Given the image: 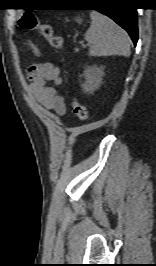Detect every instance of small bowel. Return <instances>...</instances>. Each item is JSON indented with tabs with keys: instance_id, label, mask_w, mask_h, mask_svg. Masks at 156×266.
<instances>
[{
	"instance_id": "c3829d8e",
	"label": "small bowel",
	"mask_w": 156,
	"mask_h": 266,
	"mask_svg": "<svg viewBox=\"0 0 156 266\" xmlns=\"http://www.w3.org/2000/svg\"><path fill=\"white\" fill-rule=\"evenodd\" d=\"M28 78L34 100L45 110L55 115H65L64 99L56 90V87L63 83L60 68L52 62L35 64L29 67Z\"/></svg>"
}]
</instances>
